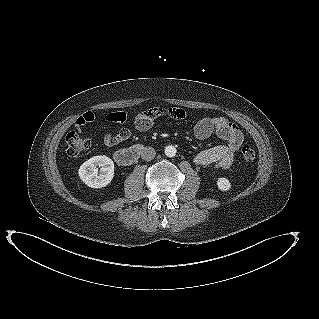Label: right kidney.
Wrapping results in <instances>:
<instances>
[{"label":"right kidney","instance_id":"1","mask_svg":"<svg viewBox=\"0 0 319 319\" xmlns=\"http://www.w3.org/2000/svg\"><path fill=\"white\" fill-rule=\"evenodd\" d=\"M98 166L101 167L100 173H98ZM78 174L80 179L91 188L106 187L114 177V163L107 156H94L80 166Z\"/></svg>","mask_w":319,"mask_h":319}]
</instances>
